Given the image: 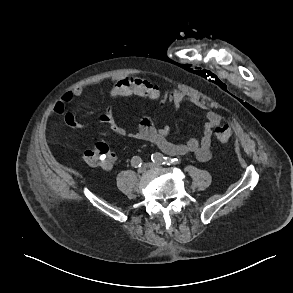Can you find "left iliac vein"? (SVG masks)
I'll return each instance as SVG.
<instances>
[{
  "label": "left iliac vein",
  "mask_w": 293,
  "mask_h": 293,
  "mask_svg": "<svg viewBox=\"0 0 293 293\" xmlns=\"http://www.w3.org/2000/svg\"><path fill=\"white\" fill-rule=\"evenodd\" d=\"M145 166L149 169L161 168L159 164L153 162L146 163Z\"/></svg>",
  "instance_id": "left-iliac-vein-1"
}]
</instances>
